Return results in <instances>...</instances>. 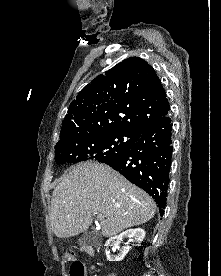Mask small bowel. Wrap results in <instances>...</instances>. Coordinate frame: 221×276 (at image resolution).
I'll return each mask as SVG.
<instances>
[{
  "label": "small bowel",
  "instance_id": "1",
  "mask_svg": "<svg viewBox=\"0 0 221 276\" xmlns=\"http://www.w3.org/2000/svg\"><path fill=\"white\" fill-rule=\"evenodd\" d=\"M83 249H84V251L87 252L88 254H93L92 248H90V247H84Z\"/></svg>",
  "mask_w": 221,
  "mask_h": 276
}]
</instances>
